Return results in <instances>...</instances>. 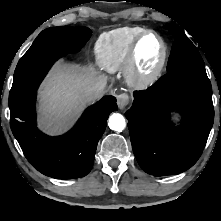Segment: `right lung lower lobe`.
<instances>
[{
	"label": "right lung lower lobe",
	"instance_id": "98d812e1",
	"mask_svg": "<svg viewBox=\"0 0 221 221\" xmlns=\"http://www.w3.org/2000/svg\"><path fill=\"white\" fill-rule=\"evenodd\" d=\"M35 98L36 92L10 106L11 129L25 157L39 172L52 178L87 175L107 117L118 109L115 97L106 96L89 107L70 132L58 137H49L37 129Z\"/></svg>",
	"mask_w": 221,
	"mask_h": 221
}]
</instances>
